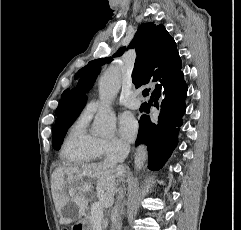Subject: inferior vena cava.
I'll return each mask as SVG.
<instances>
[{
  "label": "inferior vena cava",
  "instance_id": "inferior-vena-cava-1",
  "mask_svg": "<svg viewBox=\"0 0 241 230\" xmlns=\"http://www.w3.org/2000/svg\"><path fill=\"white\" fill-rule=\"evenodd\" d=\"M130 146L128 144H120L118 150L115 153H112L109 155L103 162V165L108 166V167H113L117 168V163L120 162L129 152ZM124 198V191L120 189L119 195H118V200ZM121 212V211H120ZM113 229L117 227L116 220L119 217V210H118V205H116L113 209Z\"/></svg>",
  "mask_w": 241,
  "mask_h": 230
}]
</instances>
